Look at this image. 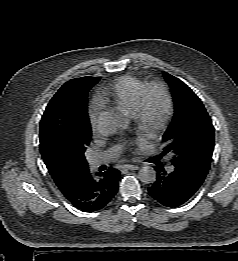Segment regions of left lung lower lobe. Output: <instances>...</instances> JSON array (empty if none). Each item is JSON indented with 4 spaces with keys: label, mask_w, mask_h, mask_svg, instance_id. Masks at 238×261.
<instances>
[{
    "label": "left lung lower lobe",
    "mask_w": 238,
    "mask_h": 261,
    "mask_svg": "<svg viewBox=\"0 0 238 261\" xmlns=\"http://www.w3.org/2000/svg\"><path fill=\"white\" fill-rule=\"evenodd\" d=\"M156 181L148 188L149 195L166 207H178L200 188L206 175L178 166L166 170L157 162Z\"/></svg>",
    "instance_id": "left-lung-lower-lobe-1"
}]
</instances>
